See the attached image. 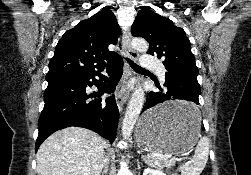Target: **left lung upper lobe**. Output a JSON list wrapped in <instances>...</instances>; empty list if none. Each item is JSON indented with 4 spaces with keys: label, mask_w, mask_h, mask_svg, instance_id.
Returning <instances> with one entry per match:
<instances>
[{
    "label": "left lung upper lobe",
    "mask_w": 251,
    "mask_h": 175,
    "mask_svg": "<svg viewBox=\"0 0 251 175\" xmlns=\"http://www.w3.org/2000/svg\"><path fill=\"white\" fill-rule=\"evenodd\" d=\"M132 35L145 38L150 45L148 54L163 59L165 68L198 75L195 58L191 52V43L185 31L152 10L143 9L131 28Z\"/></svg>",
    "instance_id": "1"
}]
</instances>
